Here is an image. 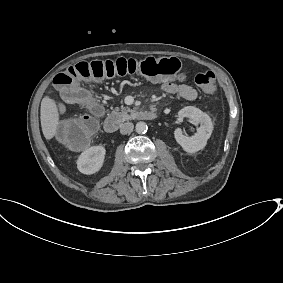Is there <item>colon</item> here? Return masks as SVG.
<instances>
[{
  "label": "colon",
  "mask_w": 283,
  "mask_h": 283,
  "mask_svg": "<svg viewBox=\"0 0 283 283\" xmlns=\"http://www.w3.org/2000/svg\"><path fill=\"white\" fill-rule=\"evenodd\" d=\"M181 69V62L174 57H147L141 60L118 58L116 60L79 62L68 67L54 78L55 86L63 98L71 104L84 107L89 115H82L63 121L57 129L61 143L73 149L86 147L97 129V120L102 107L91 92L81 84L85 80H103L116 76H142L150 79H170ZM195 84L207 95L217 90L214 73L196 75Z\"/></svg>",
  "instance_id": "5ec220e1"
}]
</instances>
